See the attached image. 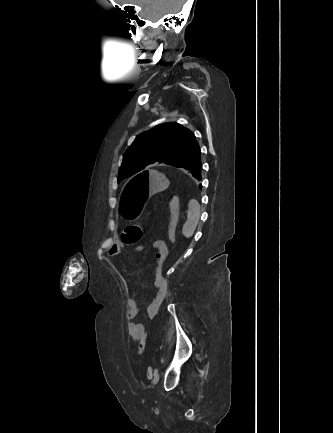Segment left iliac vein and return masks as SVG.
<instances>
[{
  "label": "left iliac vein",
  "instance_id": "obj_1",
  "mask_svg": "<svg viewBox=\"0 0 333 433\" xmlns=\"http://www.w3.org/2000/svg\"><path fill=\"white\" fill-rule=\"evenodd\" d=\"M158 381H159V373L156 372L155 375H154V378H153V384H157Z\"/></svg>",
  "mask_w": 333,
  "mask_h": 433
}]
</instances>
